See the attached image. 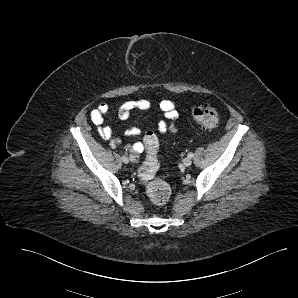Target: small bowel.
Listing matches in <instances>:
<instances>
[{
  "mask_svg": "<svg viewBox=\"0 0 298 298\" xmlns=\"http://www.w3.org/2000/svg\"><path fill=\"white\" fill-rule=\"evenodd\" d=\"M151 107L152 103L148 99L129 100L124 102L119 107L118 116L122 120H127L134 110L146 111L149 110ZM159 108L163 112L166 120H160L158 122V131L161 134L176 132L177 128L175 122L179 117V113L176 110L174 103L170 100H162L159 103ZM108 111V104L100 103L95 109L91 111L90 118L95 125L99 135L104 140L108 141L111 147L115 148L121 143V140L118 138H113V130L109 126L104 125V117L108 113ZM168 121L170 123H168ZM140 133L141 130L138 127H130L125 131V134L127 136H136ZM143 149V144L141 142H135L132 145L128 146V150L136 154L141 153Z\"/></svg>",
  "mask_w": 298,
  "mask_h": 298,
  "instance_id": "obj_1",
  "label": "small bowel"
}]
</instances>
